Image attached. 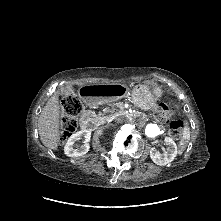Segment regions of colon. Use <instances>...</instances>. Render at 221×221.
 Segmentation results:
<instances>
[{
  "mask_svg": "<svg viewBox=\"0 0 221 221\" xmlns=\"http://www.w3.org/2000/svg\"><path fill=\"white\" fill-rule=\"evenodd\" d=\"M63 117L59 141L65 142L76 130L75 118L83 110V104L77 97L71 96L64 99L62 103ZM175 112V107L169 102H162L155 108V117L160 122H166ZM169 134L173 138H180L184 134V123L180 120L169 122Z\"/></svg>",
  "mask_w": 221,
  "mask_h": 221,
  "instance_id": "obj_1",
  "label": "colon"
}]
</instances>
